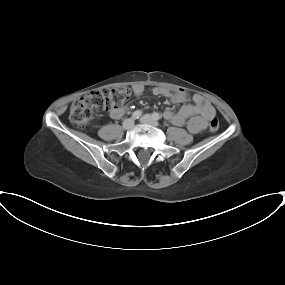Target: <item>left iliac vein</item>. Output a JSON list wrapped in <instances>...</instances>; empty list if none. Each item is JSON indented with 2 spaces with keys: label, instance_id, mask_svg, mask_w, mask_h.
Returning <instances> with one entry per match:
<instances>
[{
  "label": "left iliac vein",
  "instance_id": "4c4485c4",
  "mask_svg": "<svg viewBox=\"0 0 285 285\" xmlns=\"http://www.w3.org/2000/svg\"><path fill=\"white\" fill-rule=\"evenodd\" d=\"M140 121L144 124H148L157 127L159 123L149 114H146L140 118Z\"/></svg>",
  "mask_w": 285,
  "mask_h": 285
}]
</instances>
